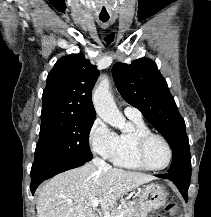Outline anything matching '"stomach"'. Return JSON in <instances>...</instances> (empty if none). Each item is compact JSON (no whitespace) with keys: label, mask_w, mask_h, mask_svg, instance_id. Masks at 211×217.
<instances>
[{"label":"stomach","mask_w":211,"mask_h":217,"mask_svg":"<svg viewBox=\"0 0 211 217\" xmlns=\"http://www.w3.org/2000/svg\"><path fill=\"white\" fill-rule=\"evenodd\" d=\"M167 195L164 188L158 184L144 186L138 200V217H147V214L165 205Z\"/></svg>","instance_id":"1"}]
</instances>
